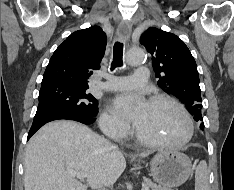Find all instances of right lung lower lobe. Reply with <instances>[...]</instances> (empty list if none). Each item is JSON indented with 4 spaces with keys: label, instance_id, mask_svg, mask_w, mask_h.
I'll use <instances>...</instances> for the list:
<instances>
[{
    "label": "right lung lower lobe",
    "instance_id": "right-lung-lower-lobe-1",
    "mask_svg": "<svg viewBox=\"0 0 234 190\" xmlns=\"http://www.w3.org/2000/svg\"><path fill=\"white\" fill-rule=\"evenodd\" d=\"M60 119L74 120V121L81 122L83 124H92L95 121L94 117H86L77 113H72V112H67V111L52 112L33 122L31 129L29 131L27 140L44 124L50 121L60 120Z\"/></svg>",
    "mask_w": 234,
    "mask_h": 190
}]
</instances>
